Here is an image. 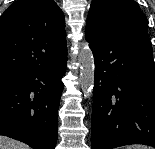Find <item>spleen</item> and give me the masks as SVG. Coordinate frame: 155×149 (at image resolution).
I'll list each match as a JSON object with an SVG mask.
<instances>
[{"label": "spleen", "mask_w": 155, "mask_h": 149, "mask_svg": "<svg viewBox=\"0 0 155 149\" xmlns=\"http://www.w3.org/2000/svg\"><path fill=\"white\" fill-rule=\"evenodd\" d=\"M126 149H153V148L147 147L144 145H130V146H127Z\"/></svg>", "instance_id": "spleen-1"}]
</instances>
